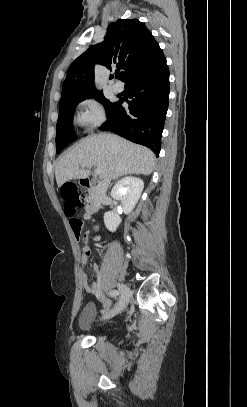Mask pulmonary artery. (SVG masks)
<instances>
[{"mask_svg": "<svg viewBox=\"0 0 247 407\" xmlns=\"http://www.w3.org/2000/svg\"><path fill=\"white\" fill-rule=\"evenodd\" d=\"M113 91L119 93L122 91V86L120 83H113L112 85Z\"/></svg>", "mask_w": 247, "mask_h": 407, "instance_id": "e3ab8cb5", "label": "pulmonary artery"}]
</instances>
